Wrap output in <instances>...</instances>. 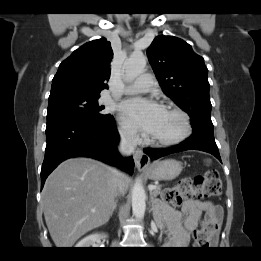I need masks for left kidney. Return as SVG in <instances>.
I'll use <instances>...</instances> for the list:
<instances>
[{"instance_id":"1","label":"left kidney","mask_w":261,"mask_h":261,"mask_svg":"<svg viewBox=\"0 0 261 261\" xmlns=\"http://www.w3.org/2000/svg\"><path fill=\"white\" fill-rule=\"evenodd\" d=\"M176 246H177V247H181V246H182V243H181V242H176Z\"/></svg>"}]
</instances>
